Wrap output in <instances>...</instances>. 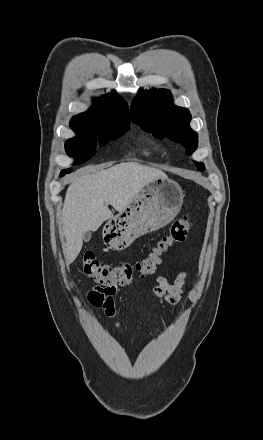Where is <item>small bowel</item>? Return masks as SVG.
<instances>
[{"label":"small bowel","instance_id":"c3829d8e","mask_svg":"<svg viewBox=\"0 0 263 440\" xmlns=\"http://www.w3.org/2000/svg\"><path fill=\"white\" fill-rule=\"evenodd\" d=\"M185 279V272L178 273L173 283H170L163 276L156 278L153 294L162 307L165 308L167 304L175 305L182 300L186 291ZM116 292L117 288L94 286L87 292V300L92 306L103 308L106 316L114 318L116 315V301L114 298Z\"/></svg>","mask_w":263,"mask_h":440}]
</instances>
